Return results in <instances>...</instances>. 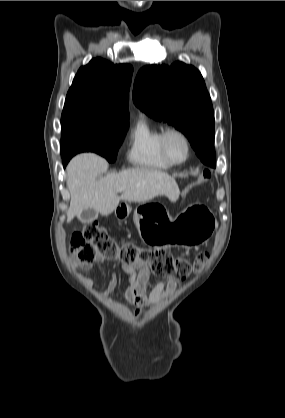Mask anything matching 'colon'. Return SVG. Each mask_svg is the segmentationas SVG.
Segmentation results:
<instances>
[{
    "instance_id": "5ec220e1",
    "label": "colon",
    "mask_w": 285,
    "mask_h": 418,
    "mask_svg": "<svg viewBox=\"0 0 285 418\" xmlns=\"http://www.w3.org/2000/svg\"><path fill=\"white\" fill-rule=\"evenodd\" d=\"M202 178L209 181L212 173L202 172ZM70 252L79 263L92 265L97 256L119 258L123 263H148L151 271L161 277L181 279L191 271H199L209 259V252L198 254L192 263L184 258H175L164 250L141 248L132 243H118L105 228L97 223H89L75 229L70 237Z\"/></svg>"
}]
</instances>
